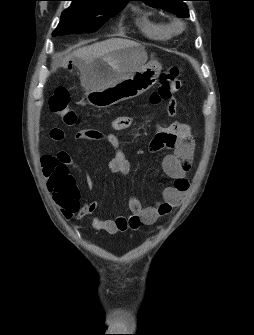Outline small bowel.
<instances>
[{"label": "small bowel", "instance_id": "obj_1", "mask_svg": "<svg viewBox=\"0 0 254 335\" xmlns=\"http://www.w3.org/2000/svg\"><path fill=\"white\" fill-rule=\"evenodd\" d=\"M168 103L166 108L163 109V114L177 115L178 98L174 94H171ZM131 122V117L120 116L112 121L111 128L114 131H121L128 128ZM50 136L54 141H61L64 138V133L59 128H53ZM75 138L80 141L101 139L106 141L113 151L112 157L108 162L109 171L121 176H127L130 173V164L114 133H101L92 129H81L76 133ZM168 138H172V141L169 142ZM162 148L172 149V153L165 156L162 162L164 173L173 180V185L166 187L163 191L164 201L157 205L144 207L137 197L132 196L128 200V206L131 211L130 216H120L115 219L95 217L93 219V227L95 229L105 231L109 234H116L127 230L135 231L142 225L155 224L159 218L170 214L173 208L181 204L189 186L187 174L193 161L194 142L190 125L183 121H177L170 127L157 128L155 138L150 145V150L155 152ZM57 156L62 168L65 170V177L71 184L74 183V177L70 169H73L84 176L86 185L90 188V180L80 164L74 162L65 152H60ZM51 192L55 197L57 196L55 190H51ZM61 206L67 218L75 216L76 219H82L93 214L97 210L98 204L95 201H91L79 205L73 197H67L62 201Z\"/></svg>", "mask_w": 254, "mask_h": 335}]
</instances>
